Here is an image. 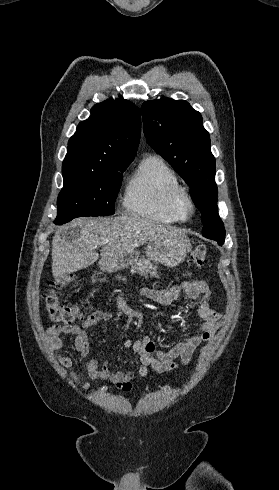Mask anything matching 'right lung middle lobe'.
<instances>
[{
  "label": "right lung middle lobe",
  "mask_w": 279,
  "mask_h": 490,
  "mask_svg": "<svg viewBox=\"0 0 279 490\" xmlns=\"http://www.w3.org/2000/svg\"><path fill=\"white\" fill-rule=\"evenodd\" d=\"M128 165L101 171L63 170L64 186L57 200L55 224L80 216H107L115 212L122 172Z\"/></svg>",
  "instance_id": "right-lung-middle-lobe-1"
}]
</instances>
